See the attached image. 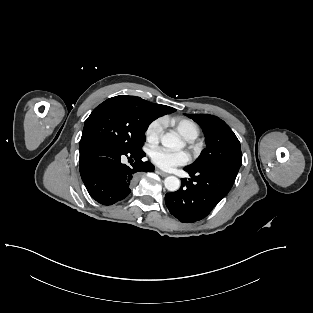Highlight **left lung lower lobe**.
<instances>
[{
	"label": "left lung lower lobe",
	"mask_w": 313,
	"mask_h": 313,
	"mask_svg": "<svg viewBox=\"0 0 313 313\" xmlns=\"http://www.w3.org/2000/svg\"><path fill=\"white\" fill-rule=\"evenodd\" d=\"M191 179H182L176 192L165 195L170 213L181 222L192 223L205 218L230 191L238 171L228 168L190 170Z\"/></svg>",
	"instance_id": "1"
}]
</instances>
